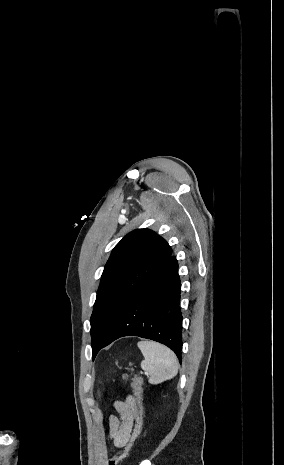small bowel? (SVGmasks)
Segmentation results:
<instances>
[{
  "instance_id": "c3829d8e",
  "label": "small bowel",
  "mask_w": 284,
  "mask_h": 465,
  "mask_svg": "<svg viewBox=\"0 0 284 465\" xmlns=\"http://www.w3.org/2000/svg\"><path fill=\"white\" fill-rule=\"evenodd\" d=\"M114 407L119 415L109 418V435L116 448L122 449L128 442L138 419L136 403L133 397L125 401H117ZM109 465V463L107 464Z\"/></svg>"
}]
</instances>
